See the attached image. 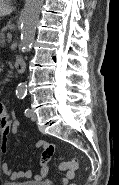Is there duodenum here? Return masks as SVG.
I'll list each match as a JSON object with an SVG mask.
<instances>
[{"label":"duodenum","instance_id":"410a0bca","mask_svg":"<svg viewBox=\"0 0 119 185\" xmlns=\"http://www.w3.org/2000/svg\"><path fill=\"white\" fill-rule=\"evenodd\" d=\"M14 66L17 72L23 73L26 69V62L22 57H16L14 60Z\"/></svg>","mask_w":119,"mask_h":185}]
</instances>
